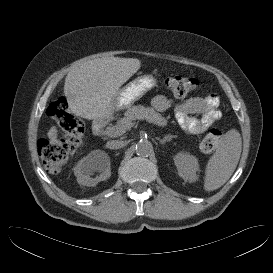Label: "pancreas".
Here are the masks:
<instances>
[{
	"mask_svg": "<svg viewBox=\"0 0 273 273\" xmlns=\"http://www.w3.org/2000/svg\"><path fill=\"white\" fill-rule=\"evenodd\" d=\"M140 119H145L149 123H153L157 126H166L167 119L163 117L160 113L155 111L151 107H144L142 105L138 106H130L128 110L125 112L124 118L120 119L117 122V127L127 126L128 129L133 126V121Z\"/></svg>",
	"mask_w": 273,
	"mask_h": 273,
	"instance_id": "1",
	"label": "pancreas"
}]
</instances>
